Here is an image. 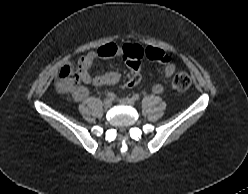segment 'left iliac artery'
<instances>
[{
  "label": "left iliac artery",
  "instance_id": "1",
  "mask_svg": "<svg viewBox=\"0 0 248 194\" xmlns=\"http://www.w3.org/2000/svg\"><path fill=\"white\" fill-rule=\"evenodd\" d=\"M140 98V96L138 94H133L132 99H134L135 101H138Z\"/></svg>",
  "mask_w": 248,
  "mask_h": 194
}]
</instances>
